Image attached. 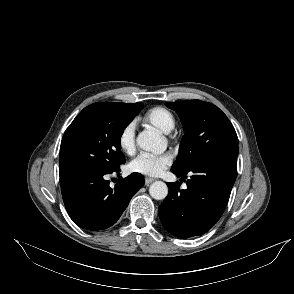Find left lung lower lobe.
<instances>
[{"label":"left lung lower lobe","mask_w":294,"mask_h":294,"mask_svg":"<svg viewBox=\"0 0 294 294\" xmlns=\"http://www.w3.org/2000/svg\"><path fill=\"white\" fill-rule=\"evenodd\" d=\"M238 149L228 146L195 166L185 190L179 182L167 183L169 193L159 217L168 232L183 239L199 236L220 219L236 179ZM172 172L183 178L188 173Z\"/></svg>","instance_id":"1"}]
</instances>
